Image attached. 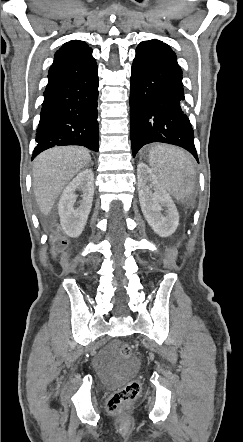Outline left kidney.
Returning <instances> with one entry per match:
<instances>
[{
    "label": "left kidney",
    "instance_id": "5707ae66",
    "mask_svg": "<svg viewBox=\"0 0 243 442\" xmlns=\"http://www.w3.org/2000/svg\"><path fill=\"white\" fill-rule=\"evenodd\" d=\"M137 174L140 207L145 219L160 237L171 236L179 224V213L174 201L145 163H139ZM147 183L154 187V193ZM164 208L165 216L161 213Z\"/></svg>",
    "mask_w": 243,
    "mask_h": 442
}]
</instances>
